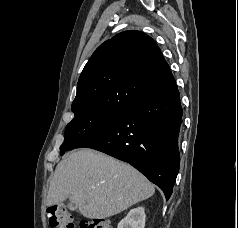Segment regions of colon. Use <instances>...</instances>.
<instances>
[{"label":"colon","instance_id":"5ec220e1","mask_svg":"<svg viewBox=\"0 0 238 228\" xmlns=\"http://www.w3.org/2000/svg\"><path fill=\"white\" fill-rule=\"evenodd\" d=\"M49 224L52 228H74V218L67 206L55 204L47 209ZM80 228H112L106 219L82 220Z\"/></svg>","mask_w":238,"mask_h":228}]
</instances>
